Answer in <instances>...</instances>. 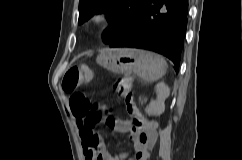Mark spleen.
<instances>
[{
  "mask_svg": "<svg viewBox=\"0 0 242 160\" xmlns=\"http://www.w3.org/2000/svg\"><path fill=\"white\" fill-rule=\"evenodd\" d=\"M156 64L159 65V73L156 75L154 80L160 78L163 75L164 69L167 65L166 61L161 56L155 54V63L152 65V69H156ZM161 88H162V85L158 84L157 90L160 91Z\"/></svg>",
  "mask_w": 242,
  "mask_h": 160,
  "instance_id": "3e777b00",
  "label": "spleen"
}]
</instances>
